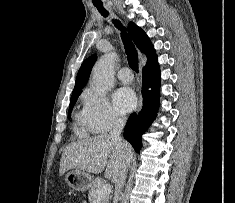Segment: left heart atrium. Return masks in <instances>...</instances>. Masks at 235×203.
Here are the masks:
<instances>
[{
    "mask_svg": "<svg viewBox=\"0 0 235 203\" xmlns=\"http://www.w3.org/2000/svg\"><path fill=\"white\" fill-rule=\"evenodd\" d=\"M113 101L118 111L127 113L132 111L137 104V99L134 92L126 87L115 91Z\"/></svg>",
    "mask_w": 235,
    "mask_h": 203,
    "instance_id": "1",
    "label": "left heart atrium"
}]
</instances>
